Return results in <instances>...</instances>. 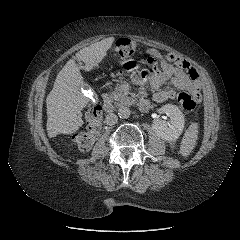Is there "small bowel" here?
Returning <instances> with one entry per match:
<instances>
[{"instance_id": "1", "label": "small bowel", "mask_w": 240, "mask_h": 240, "mask_svg": "<svg viewBox=\"0 0 240 240\" xmlns=\"http://www.w3.org/2000/svg\"><path fill=\"white\" fill-rule=\"evenodd\" d=\"M147 54L149 58L146 63L150 68L143 71L135 80L149 83L154 90L152 95L154 102L175 99L176 89L188 91L197 102L201 100L197 72L186 60L172 53L163 55L153 48L148 49ZM164 83L168 84L167 88H161Z\"/></svg>"}]
</instances>
